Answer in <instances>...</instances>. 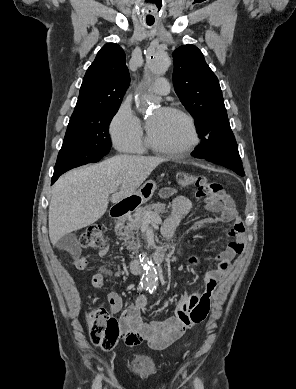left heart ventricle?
<instances>
[{
	"mask_svg": "<svg viewBox=\"0 0 296 389\" xmlns=\"http://www.w3.org/2000/svg\"><path fill=\"white\" fill-rule=\"evenodd\" d=\"M153 140L162 146L180 147L190 137L187 122L181 116L157 109L148 119Z\"/></svg>",
	"mask_w": 296,
	"mask_h": 389,
	"instance_id": "obj_1",
	"label": "left heart ventricle"
}]
</instances>
